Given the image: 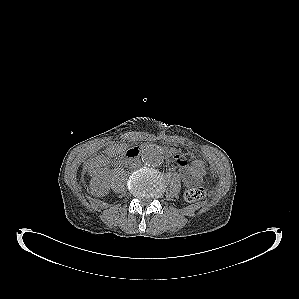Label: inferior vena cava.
<instances>
[{"mask_svg": "<svg viewBox=\"0 0 299 299\" xmlns=\"http://www.w3.org/2000/svg\"><path fill=\"white\" fill-rule=\"evenodd\" d=\"M140 165H141V162H140V161H135L134 163L131 164V166H132L133 168H137V167H139Z\"/></svg>", "mask_w": 299, "mask_h": 299, "instance_id": "602c4592", "label": "inferior vena cava"}]
</instances>
